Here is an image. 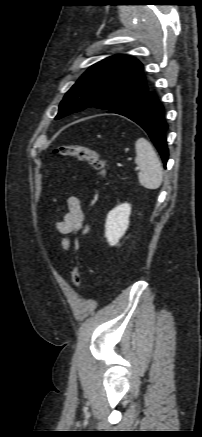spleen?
Here are the masks:
<instances>
[{
  "label": "spleen",
  "mask_w": 202,
  "mask_h": 437,
  "mask_svg": "<svg viewBox=\"0 0 202 437\" xmlns=\"http://www.w3.org/2000/svg\"><path fill=\"white\" fill-rule=\"evenodd\" d=\"M135 147V163L140 169L138 173L140 184L150 190L159 188L163 180V170L155 150L145 138H139Z\"/></svg>",
  "instance_id": "1"
}]
</instances>
